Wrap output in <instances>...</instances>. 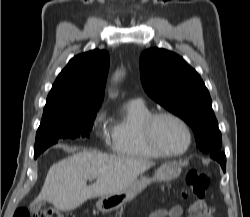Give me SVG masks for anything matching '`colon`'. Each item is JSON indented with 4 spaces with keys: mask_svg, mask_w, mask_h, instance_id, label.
<instances>
[{
    "mask_svg": "<svg viewBox=\"0 0 250 217\" xmlns=\"http://www.w3.org/2000/svg\"><path fill=\"white\" fill-rule=\"evenodd\" d=\"M212 181L211 173L207 170H192L185 175L184 197L194 198L193 204L198 212L211 217L212 209L208 207L202 198L208 190ZM13 217H66L65 214L57 208H48L31 214L27 208H19Z\"/></svg>",
    "mask_w": 250,
    "mask_h": 217,
    "instance_id": "colon-1",
    "label": "colon"
}]
</instances>
